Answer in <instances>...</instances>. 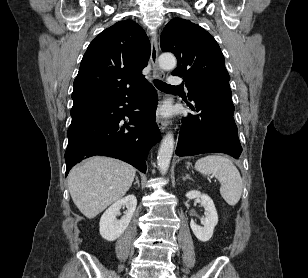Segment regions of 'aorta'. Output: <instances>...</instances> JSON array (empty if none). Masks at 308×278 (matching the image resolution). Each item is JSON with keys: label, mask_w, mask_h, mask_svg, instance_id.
<instances>
[{"label": "aorta", "mask_w": 308, "mask_h": 278, "mask_svg": "<svg viewBox=\"0 0 308 278\" xmlns=\"http://www.w3.org/2000/svg\"><path fill=\"white\" fill-rule=\"evenodd\" d=\"M159 66L164 70H172L176 67V58L171 53H163L159 56ZM174 149V137L172 133H167L160 145L157 164L161 174H165L169 168Z\"/></svg>", "instance_id": "obj_1"}]
</instances>
